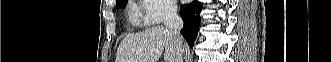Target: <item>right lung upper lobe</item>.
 I'll use <instances>...</instances> for the list:
<instances>
[{
  "mask_svg": "<svg viewBox=\"0 0 331 62\" xmlns=\"http://www.w3.org/2000/svg\"><path fill=\"white\" fill-rule=\"evenodd\" d=\"M121 1H123V0H116V3L121 2Z\"/></svg>",
  "mask_w": 331,
  "mask_h": 62,
  "instance_id": "right-lung-upper-lobe-1",
  "label": "right lung upper lobe"
}]
</instances>
